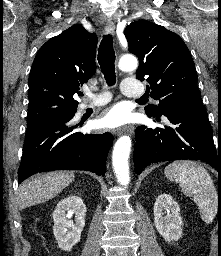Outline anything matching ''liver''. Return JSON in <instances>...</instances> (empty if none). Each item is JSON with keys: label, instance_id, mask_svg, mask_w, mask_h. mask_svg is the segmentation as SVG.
Here are the masks:
<instances>
[{"label": "liver", "instance_id": "obj_1", "mask_svg": "<svg viewBox=\"0 0 221 256\" xmlns=\"http://www.w3.org/2000/svg\"><path fill=\"white\" fill-rule=\"evenodd\" d=\"M74 178L72 171H53L27 179L18 189L19 208L48 201L72 183Z\"/></svg>", "mask_w": 221, "mask_h": 256}]
</instances>
